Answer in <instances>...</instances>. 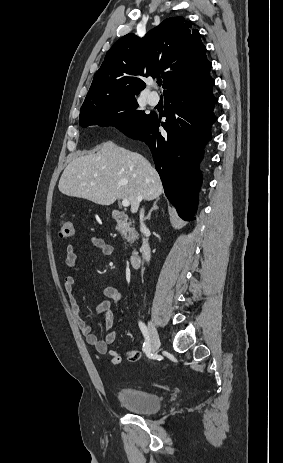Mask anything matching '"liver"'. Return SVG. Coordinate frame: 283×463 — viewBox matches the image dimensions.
I'll use <instances>...</instances> for the list:
<instances>
[{
	"label": "liver",
	"mask_w": 283,
	"mask_h": 463,
	"mask_svg": "<svg viewBox=\"0 0 283 463\" xmlns=\"http://www.w3.org/2000/svg\"><path fill=\"white\" fill-rule=\"evenodd\" d=\"M67 196L87 199L99 205H111L127 199L131 212L140 202L159 198L163 192L156 169L141 154L105 142L97 153L82 155L63 171L58 185Z\"/></svg>",
	"instance_id": "obj_1"
}]
</instances>
